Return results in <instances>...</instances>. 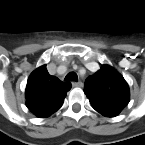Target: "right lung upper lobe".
I'll use <instances>...</instances> for the list:
<instances>
[{
  "mask_svg": "<svg viewBox=\"0 0 145 145\" xmlns=\"http://www.w3.org/2000/svg\"><path fill=\"white\" fill-rule=\"evenodd\" d=\"M71 87L70 82H62L50 75L46 65H42L28 78L25 91L26 106L37 117H49L62 106Z\"/></svg>",
  "mask_w": 145,
  "mask_h": 145,
  "instance_id": "right-lung-upper-lobe-1",
  "label": "right lung upper lobe"
}]
</instances>
